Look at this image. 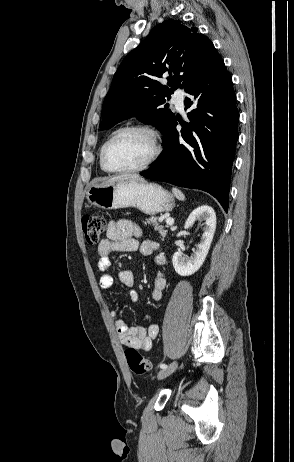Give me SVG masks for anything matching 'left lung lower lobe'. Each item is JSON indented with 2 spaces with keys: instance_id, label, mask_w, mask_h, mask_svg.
<instances>
[{
  "instance_id": "obj_1",
  "label": "left lung lower lobe",
  "mask_w": 294,
  "mask_h": 462,
  "mask_svg": "<svg viewBox=\"0 0 294 462\" xmlns=\"http://www.w3.org/2000/svg\"><path fill=\"white\" fill-rule=\"evenodd\" d=\"M189 123L174 118L164 135V154L142 176L204 190L228 210L232 163L238 140L239 112L232 78L221 58L211 62L184 89Z\"/></svg>"
}]
</instances>
